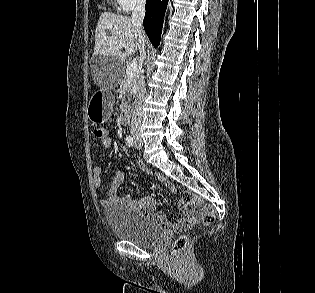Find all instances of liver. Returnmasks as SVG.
<instances>
[{
  "instance_id": "6515ba94",
  "label": "liver",
  "mask_w": 315,
  "mask_h": 293,
  "mask_svg": "<svg viewBox=\"0 0 315 293\" xmlns=\"http://www.w3.org/2000/svg\"><path fill=\"white\" fill-rule=\"evenodd\" d=\"M137 48L138 34L130 18L109 12L101 14L95 30L94 56L124 61L135 54Z\"/></svg>"
}]
</instances>
